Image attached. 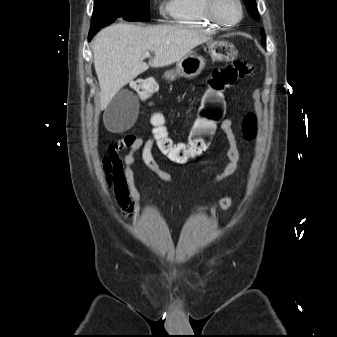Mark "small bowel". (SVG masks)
Masks as SVG:
<instances>
[{
	"label": "small bowel",
	"mask_w": 337,
	"mask_h": 337,
	"mask_svg": "<svg viewBox=\"0 0 337 337\" xmlns=\"http://www.w3.org/2000/svg\"><path fill=\"white\" fill-rule=\"evenodd\" d=\"M221 130L228 143L226 152L228 163L224 169L217 173L211 180L206 183L197 184V188L219 183L234 174L238 169L240 151L233 133V122L230 118H226L222 121ZM155 144L156 139L154 137L143 140L140 137L129 135L122 141L111 144L102 157V173L106 187L113 191L117 205L128 218H131L138 209L141 199L140 192L136 187L132 168L136 161L137 152L141 153V160L150 171L179 193L171 174L163 170L154 157L153 149ZM122 149H127L124 155L121 154ZM233 203L234 199L231 196H225L219 200V205L222 209L231 208Z\"/></svg>",
	"instance_id": "obj_1"
}]
</instances>
